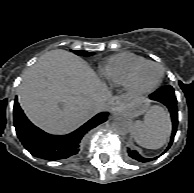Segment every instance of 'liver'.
<instances>
[{
	"mask_svg": "<svg viewBox=\"0 0 194 193\" xmlns=\"http://www.w3.org/2000/svg\"><path fill=\"white\" fill-rule=\"evenodd\" d=\"M17 94L27 117L55 135L77 129L112 99L108 87L84 60L61 49L47 52L24 72ZM133 99L122 96L127 103ZM92 103L99 104L97 111L91 110Z\"/></svg>",
	"mask_w": 194,
	"mask_h": 193,
	"instance_id": "6515ba94",
	"label": "liver"
}]
</instances>
